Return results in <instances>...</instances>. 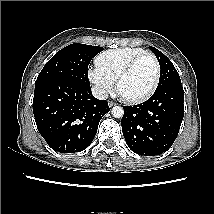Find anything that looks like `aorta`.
Instances as JSON below:
<instances>
[{"label": "aorta", "mask_w": 214, "mask_h": 214, "mask_svg": "<svg viewBox=\"0 0 214 214\" xmlns=\"http://www.w3.org/2000/svg\"><path fill=\"white\" fill-rule=\"evenodd\" d=\"M111 113H112L113 117L121 118L124 114V110L120 106H114L111 110Z\"/></svg>", "instance_id": "obj_1"}]
</instances>
